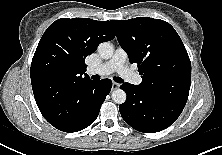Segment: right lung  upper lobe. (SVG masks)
Masks as SVG:
<instances>
[{
  "label": "right lung upper lobe",
  "mask_w": 222,
  "mask_h": 155,
  "mask_svg": "<svg viewBox=\"0 0 222 155\" xmlns=\"http://www.w3.org/2000/svg\"><path fill=\"white\" fill-rule=\"evenodd\" d=\"M115 37L112 21L61 18L44 32L31 63L32 89L46 85L65 89L89 80L85 58Z\"/></svg>",
  "instance_id": "obj_1"
}]
</instances>
